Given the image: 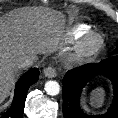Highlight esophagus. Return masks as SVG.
Returning a JSON list of instances; mask_svg holds the SVG:
<instances>
[{
  "mask_svg": "<svg viewBox=\"0 0 118 118\" xmlns=\"http://www.w3.org/2000/svg\"><path fill=\"white\" fill-rule=\"evenodd\" d=\"M43 73L47 78H54L56 76V70L52 66L45 68Z\"/></svg>",
  "mask_w": 118,
  "mask_h": 118,
  "instance_id": "34e87169",
  "label": "esophagus"
}]
</instances>
